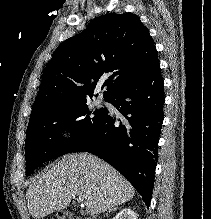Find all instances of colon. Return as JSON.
Returning a JSON list of instances; mask_svg holds the SVG:
<instances>
[{
    "label": "colon",
    "instance_id": "obj_1",
    "mask_svg": "<svg viewBox=\"0 0 211 219\" xmlns=\"http://www.w3.org/2000/svg\"><path fill=\"white\" fill-rule=\"evenodd\" d=\"M50 219H86V218H76L68 213H60L56 217ZM89 219H97V218H89Z\"/></svg>",
    "mask_w": 211,
    "mask_h": 219
}]
</instances>
